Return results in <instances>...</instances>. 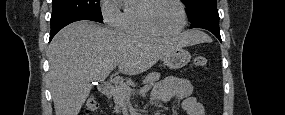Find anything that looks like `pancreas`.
I'll return each mask as SVG.
<instances>
[{
    "label": "pancreas",
    "instance_id": "1",
    "mask_svg": "<svg viewBox=\"0 0 285 115\" xmlns=\"http://www.w3.org/2000/svg\"><path fill=\"white\" fill-rule=\"evenodd\" d=\"M160 78V74L157 72H152L148 74L145 79L143 80L144 84H147L148 87H151L154 82L158 81ZM130 86H134L133 82L123 83L120 82L115 90L112 93L113 100L115 103V109L118 112L120 108L124 106L126 97L130 94L131 88Z\"/></svg>",
    "mask_w": 285,
    "mask_h": 115
}]
</instances>
